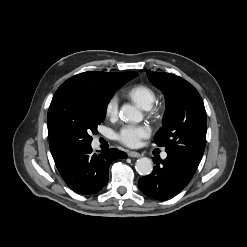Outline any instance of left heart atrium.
Returning <instances> with one entry per match:
<instances>
[{
  "label": "left heart atrium",
  "instance_id": "1",
  "mask_svg": "<svg viewBox=\"0 0 247 247\" xmlns=\"http://www.w3.org/2000/svg\"><path fill=\"white\" fill-rule=\"evenodd\" d=\"M149 129L143 125H125L117 137L118 140L126 146L137 147L141 140L149 136Z\"/></svg>",
  "mask_w": 247,
  "mask_h": 247
}]
</instances>
